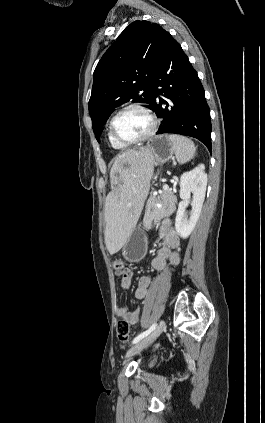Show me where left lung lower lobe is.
<instances>
[{
  "mask_svg": "<svg viewBox=\"0 0 265 423\" xmlns=\"http://www.w3.org/2000/svg\"><path fill=\"white\" fill-rule=\"evenodd\" d=\"M151 91V109L163 119L157 134L174 133L194 137L211 152L210 109L203 86L181 45L170 34L166 36ZM159 95H163L166 100Z\"/></svg>",
  "mask_w": 265,
  "mask_h": 423,
  "instance_id": "left-lung-lower-lobe-1",
  "label": "left lung lower lobe"
}]
</instances>
